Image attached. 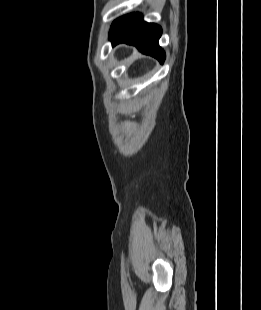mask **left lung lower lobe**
<instances>
[{"instance_id": "0a47b994", "label": "left lung lower lobe", "mask_w": 261, "mask_h": 310, "mask_svg": "<svg viewBox=\"0 0 261 310\" xmlns=\"http://www.w3.org/2000/svg\"><path fill=\"white\" fill-rule=\"evenodd\" d=\"M162 29L160 26L143 21L141 14H129L115 20L110 28L109 40L115 44L135 45L142 53L151 55L161 63L165 53L158 45Z\"/></svg>"}]
</instances>
